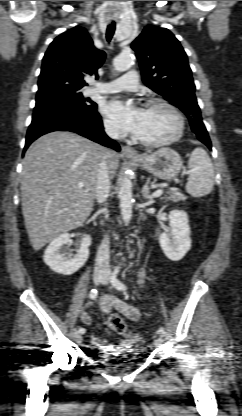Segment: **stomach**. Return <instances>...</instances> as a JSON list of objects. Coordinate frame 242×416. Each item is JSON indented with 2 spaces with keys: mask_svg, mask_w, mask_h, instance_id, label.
I'll list each match as a JSON object with an SVG mask.
<instances>
[{
  "mask_svg": "<svg viewBox=\"0 0 242 416\" xmlns=\"http://www.w3.org/2000/svg\"><path fill=\"white\" fill-rule=\"evenodd\" d=\"M135 162L144 170L162 180H170L176 177L182 168L180 155L170 148H161L145 154L136 159Z\"/></svg>",
  "mask_w": 242,
  "mask_h": 416,
  "instance_id": "1",
  "label": "stomach"
}]
</instances>
